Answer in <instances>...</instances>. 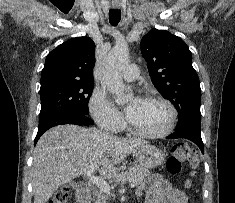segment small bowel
Returning <instances> with one entry per match:
<instances>
[{
  "label": "small bowel",
  "mask_w": 235,
  "mask_h": 203,
  "mask_svg": "<svg viewBox=\"0 0 235 203\" xmlns=\"http://www.w3.org/2000/svg\"><path fill=\"white\" fill-rule=\"evenodd\" d=\"M146 193V203H187L185 193L173 188L168 180L161 175L154 174L142 184L139 194Z\"/></svg>",
  "instance_id": "obj_1"
}]
</instances>
